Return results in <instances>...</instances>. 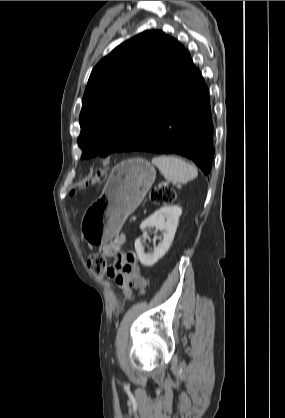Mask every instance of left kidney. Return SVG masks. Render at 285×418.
Wrapping results in <instances>:
<instances>
[{"mask_svg": "<svg viewBox=\"0 0 285 418\" xmlns=\"http://www.w3.org/2000/svg\"><path fill=\"white\" fill-rule=\"evenodd\" d=\"M182 209L179 206H164L155 211L145 219L140 229L144 231L147 227H156L163 232V240L154 247V251L145 254L141 238L135 240L134 246L142 265L152 266L169 250L174 239Z\"/></svg>", "mask_w": 285, "mask_h": 418, "instance_id": "1", "label": "left kidney"}]
</instances>
